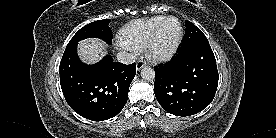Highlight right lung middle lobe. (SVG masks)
Wrapping results in <instances>:
<instances>
[{"label": "right lung middle lobe", "instance_id": "1", "mask_svg": "<svg viewBox=\"0 0 276 138\" xmlns=\"http://www.w3.org/2000/svg\"><path fill=\"white\" fill-rule=\"evenodd\" d=\"M109 23V19H104L87 24L76 32V34L73 36L67 46L77 44L79 41L90 37L100 38L108 44H111L113 34L109 27Z\"/></svg>", "mask_w": 276, "mask_h": 138}]
</instances>
